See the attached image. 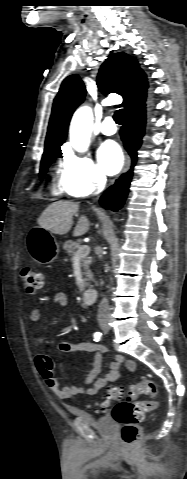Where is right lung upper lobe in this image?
I'll return each mask as SVG.
<instances>
[{"instance_id":"cb5924a9","label":"right lung upper lobe","mask_w":187,"mask_h":479,"mask_svg":"<svg viewBox=\"0 0 187 479\" xmlns=\"http://www.w3.org/2000/svg\"><path fill=\"white\" fill-rule=\"evenodd\" d=\"M97 85L101 92H115L123 97L125 113L143 107L147 101L148 82L138 62L130 55L111 54L102 64ZM85 86L76 74L68 76L54 99L45 141V151L59 150L65 141L68 125L75 109L84 101Z\"/></svg>"}]
</instances>
